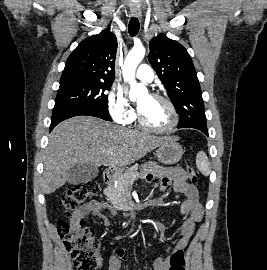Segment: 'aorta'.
I'll use <instances>...</instances> for the list:
<instances>
[{"mask_svg": "<svg viewBox=\"0 0 267 270\" xmlns=\"http://www.w3.org/2000/svg\"><path fill=\"white\" fill-rule=\"evenodd\" d=\"M145 56V48L143 46H135L128 53L123 64L124 81L130 85L129 98L135 100L147 94V88L143 84H139L135 80L136 68Z\"/></svg>", "mask_w": 267, "mask_h": 270, "instance_id": "obj_1", "label": "aorta"}]
</instances>
